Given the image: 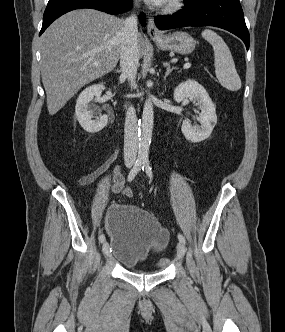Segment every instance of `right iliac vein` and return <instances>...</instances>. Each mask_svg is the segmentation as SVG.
Instances as JSON below:
<instances>
[{
    "label": "right iliac vein",
    "instance_id": "63e3f726",
    "mask_svg": "<svg viewBox=\"0 0 285 332\" xmlns=\"http://www.w3.org/2000/svg\"><path fill=\"white\" fill-rule=\"evenodd\" d=\"M102 251H103V253H104L106 256L109 255V245H108L107 242H104V243H103Z\"/></svg>",
    "mask_w": 285,
    "mask_h": 332
}]
</instances>
